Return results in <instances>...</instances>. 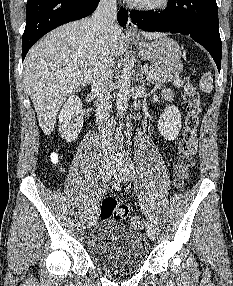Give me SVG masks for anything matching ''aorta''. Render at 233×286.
Listing matches in <instances>:
<instances>
[{
  "mask_svg": "<svg viewBox=\"0 0 233 286\" xmlns=\"http://www.w3.org/2000/svg\"><path fill=\"white\" fill-rule=\"evenodd\" d=\"M131 77V67L125 65L118 80V93L116 99V108L121 115L126 111L128 106Z\"/></svg>",
  "mask_w": 233,
  "mask_h": 286,
  "instance_id": "1",
  "label": "aorta"
}]
</instances>
